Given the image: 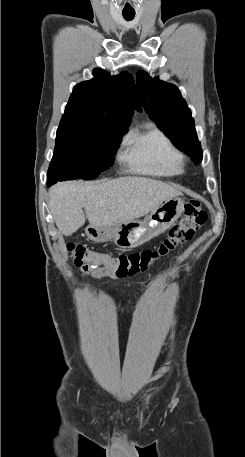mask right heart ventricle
I'll return each mask as SVG.
<instances>
[{
    "instance_id": "1",
    "label": "right heart ventricle",
    "mask_w": 245,
    "mask_h": 457,
    "mask_svg": "<svg viewBox=\"0 0 245 457\" xmlns=\"http://www.w3.org/2000/svg\"><path fill=\"white\" fill-rule=\"evenodd\" d=\"M124 154L140 172L156 176L182 173V157L164 131L153 123L132 126L123 139Z\"/></svg>"
}]
</instances>
